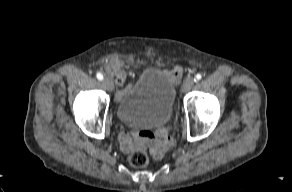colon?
I'll list each match as a JSON object with an SVG mask.
<instances>
[{
    "label": "colon",
    "instance_id": "5ec220e1",
    "mask_svg": "<svg viewBox=\"0 0 292 192\" xmlns=\"http://www.w3.org/2000/svg\"><path fill=\"white\" fill-rule=\"evenodd\" d=\"M113 78L116 83L122 84L125 81V74L120 68H115ZM149 156L145 151H136L130 156V163L132 166L141 168L148 164Z\"/></svg>",
    "mask_w": 292,
    "mask_h": 192
}]
</instances>
